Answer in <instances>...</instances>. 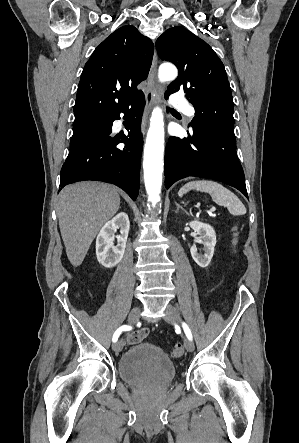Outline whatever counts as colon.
I'll use <instances>...</instances> for the list:
<instances>
[{
	"instance_id": "obj_1",
	"label": "colon",
	"mask_w": 299,
	"mask_h": 443,
	"mask_svg": "<svg viewBox=\"0 0 299 443\" xmlns=\"http://www.w3.org/2000/svg\"><path fill=\"white\" fill-rule=\"evenodd\" d=\"M233 243L236 244V232H234V240H233ZM183 354H184V347H183V345H182L181 343H177V344L174 346V348H173L172 355H173L175 358H180L181 356H183Z\"/></svg>"
}]
</instances>
